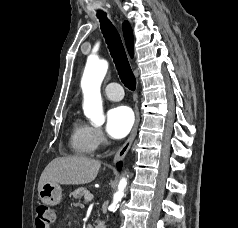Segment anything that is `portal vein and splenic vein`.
Segmentation results:
<instances>
[{"mask_svg": "<svg viewBox=\"0 0 238 228\" xmlns=\"http://www.w3.org/2000/svg\"><path fill=\"white\" fill-rule=\"evenodd\" d=\"M84 198H85L86 201H90V200L93 199V195L90 194V193H87V194L84 196Z\"/></svg>", "mask_w": 238, "mask_h": 228, "instance_id": "18ae733b", "label": "portal vein and splenic vein"}]
</instances>
